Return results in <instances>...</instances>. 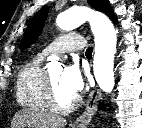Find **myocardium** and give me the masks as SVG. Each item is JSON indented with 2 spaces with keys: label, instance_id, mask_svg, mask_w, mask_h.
I'll return each instance as SVG.
<instances>
[{
  "label": "myocardium",
  "instance_id": "obj_1",
  "mask_svg": "<svg viewBox=\"0 0 142 128\" xmlns=\"http://www.w3.org/2000/svg\"><path fill=\"white\" fill-rule=\"evenodd\" d=\"M46 100L48 107L52 111L57 113H68L73 109H75L79 104V99L77 97H74L68 105L66 106L60 105L57 102L55 90L49 74H46Z\"/></svg>",
  "mask_w": 142,
  "mask_h": 128
}]
</instances>
